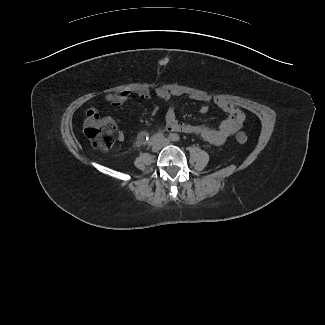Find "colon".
I'll return each mask as SVG.
<instances>
[{"mask_svg":"<svg viewBox=\"0 0 325 325\" xmlns=\"http://www.w3.org/2000/svg\"><path fill=\"white\" fill-rule=\"evenodd\" d=\"M84 133L94 147L107 150L115 141L116 123L111 118L101 117L98 113L88 114ZM236 140L239 143H245L248 137L244 132H239Z\"/></svg>","mask_w":325,"mask_h":325,"instance_id":"5ec220e1","label":"colon"}]
</instances>
